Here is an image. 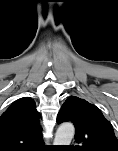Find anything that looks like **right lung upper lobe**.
<instances>
[{
  "label": "right lung upper lobe",
  "mask_w": 118,
  "mask_h": 151,
  "mask_svg": "<svg viewBox=\"0 0 118 151\" xmlns=\"http://www.w3.org/2000/svg\"><path fill=\"white\" fill-rule=\"evenodd\" d=\"M43 143L34 100L23 97L0 116V151H33Z\"/></svg>",
  "instance_id": "obj_1"
}]
</instances>
